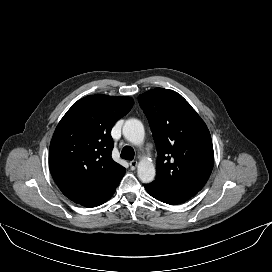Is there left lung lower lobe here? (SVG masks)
I'll return each instance as SVG.
<instances>
[{"mask_svg": "<svg viewBox=\"0 0 272 272\" xmlns=\"http://www.w3.org/2000/svg\"><path fill=\"white\" fill-rule=\"evenodd\" d=\"M145 189L155 199L170 205L180 204L191 198L189 196L158 191L149 187L148 184L145 185Z\"/></svg>", "mask_w": 272, "mask_h": 272, "instance_id": "1", "label": "left lung lower lobe"}]
</instances>
